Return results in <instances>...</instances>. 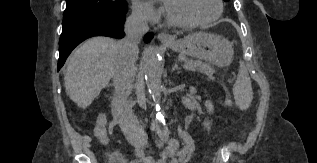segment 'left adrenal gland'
I'll return each mask as SVG.
<instances>
[{"label": "left adrenal gland", "instance_id": "a2214340", "mask_svg": "<svg viewBox=\"0 0 317 163\" xmlns=\"http://www.w3.org/2000/svg\"><path fill=\"white\" fill-rule=\"evenodd\" d=\"M175 70H178V72H179V70H180V68L178 67L177 60H175V63H174V65H173V67H172V71H175Z\"/></svg>", "mask_w": 317, "mask_h": 163}]
</instances>
